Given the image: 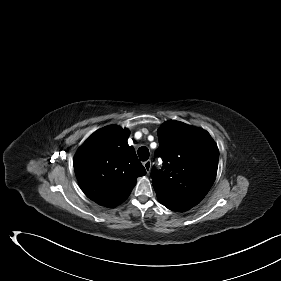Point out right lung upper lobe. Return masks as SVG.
Instances as JSON below:
<instances>
[{"mask_svg":"<svg viewBox=\"0 0 281 281\" xmlns=\"http://www.w3.org/2000/svg\"><path fill=\"white\" fill-rule=\"evenodd\" d=\"M128 129L111 125L94 132L74 157L81 189L99 205L115 207L126 200L136 178L146 174L135 150L128 145Z\"/></svg>","mask_w":281,"mask_h":281,"instance_id":"cb5924a9","label":"right lung upper lobe"}]
</instances>
